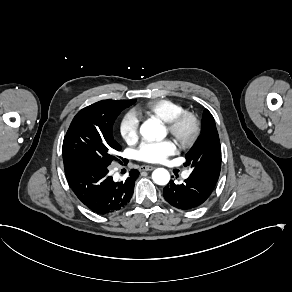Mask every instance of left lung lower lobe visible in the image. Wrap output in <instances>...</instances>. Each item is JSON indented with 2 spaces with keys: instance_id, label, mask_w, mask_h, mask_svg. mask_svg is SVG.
Segmentation results:
<instances>
[{
  "instance_id": "0a47b994",
  "label": "left lung lower lobe",
  "mask_w": 292,
  "mask_h": 292,
  "mask_svg": "<svg viewBox=\"0 0 292 292\" xmlns=\"http://www.w3.org/2000/svg\"><path fill=\"white\" fill-rule=\"evenodd\" d=\"M215 186V184L189 176L182 184H175L174 181H170L163 188V196L173 207L181 210H191L202 205L212 194Z\"/></svg>"
}]
</instances>
